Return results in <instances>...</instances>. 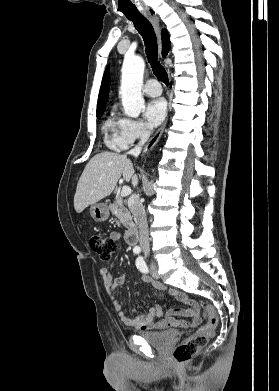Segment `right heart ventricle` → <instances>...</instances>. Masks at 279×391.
<instances>
[{"label": "right heart ventricle", "mask_w": 279, "mask_h": 391, "mask_svg": "<svg viewBox=\"0 0 279 391\" xmlns=\"http://www.w3.org/2000/svg\"><path fill=\"white\" fill-rule=\"evenodd\" d=\"M120 124L121 119L111 113L103 124L105 142L112 149H118L120 145Z\"/></svg>", "instance_id": "1"}]
</instances>
